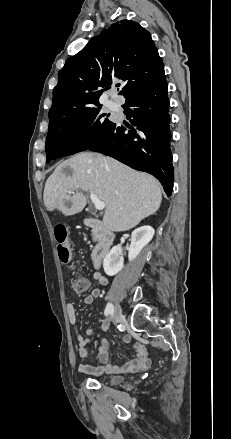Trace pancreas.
Listing matches in <instances>:
<instances>
[{"mask_svg": "<svg viewBox=\"0 0 231 439\" xmlns=\"http://www.w3.org/2000/svg\"><path fill=\"white\" fill-rule=\"evenodd\" d=\"M95 240H96V236L93 235V241H95Z\"/></svg>", "mask_w": 231, "mask_h": 439, "instance_id": "obj_1", "label": "pancreas"}]
</instances>
